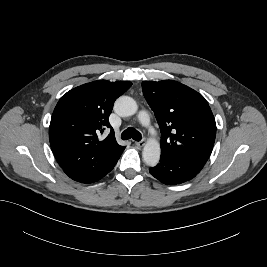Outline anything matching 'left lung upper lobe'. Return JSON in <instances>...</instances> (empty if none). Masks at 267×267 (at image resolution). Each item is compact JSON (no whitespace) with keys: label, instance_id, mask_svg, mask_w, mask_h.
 <instances>
[{"label":"left lung upper lobe","instance_id":"5c2ea615","mask_svg":"<svg viewBox=\"0 0 267 267\" xmlns=\"http://www.w3.org/2000/svg\"><path fill=\"white\" fill-rule=\"evenodd\" d=\"M145 99L161 131V155L205 164L212 152L216 123L205 98L173 80L144 81Z\"/></svg>","mask_w":267,"mask_h":267}]
</instances>
